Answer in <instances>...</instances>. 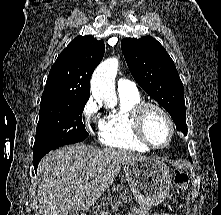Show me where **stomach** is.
Instances as JSON below:
<instances>
[{"label":"stomach","instance_id":"1","mask_svg":"<svg viewBox=\"0 0 221 215\" xmlns=\"http://www.w3.org/2000/svg\"><path fill=\"white\" fill-rule=\"evenodd\" d=\"M125 176L133 195L140 205L129 215H148V210L163 202L169 195L171 174L168 166L156 158L128 163Z\"/></svg>","mask_w":221,"mask_h":215}]
</instances>
